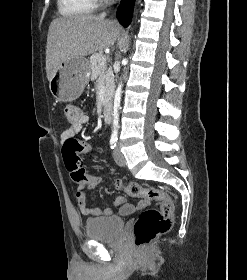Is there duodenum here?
I'll return each mask as SVG.
<instances>
[{
  "mask_svg": "<svg viewBox=\"0 0 247 280\" xmlns=\"http://www.w3.org/2000/svg\"><path fill=\"white\" fill-rule=\"evenodd\" d=\"M102 114L105 122L111 121V105L109 103L104 104Z\"/></svg>",
  "mask_w": 247,
  "mask_h": 280,
  "instance_id": "obj_1",
  "label": "duodenum"
}]
</instances>
